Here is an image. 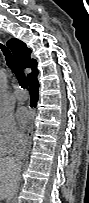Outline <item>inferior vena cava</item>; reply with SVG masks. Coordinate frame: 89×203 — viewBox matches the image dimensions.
I'll list each match as a JSON object with an SVG mask.
<instances>
[{"label": "inferior vena cava", "instance_id": "1", "mask_svg": "<svg viewBox=\"0 0 89 203\" xmlns=\"http://www.w3.org/2000/svg\"><path fill=\"white\" fill-rule=\"evenodd\" d=\"M28 145H29V142L27 137L22 136L18 138V150L15 154V160L18 162V165H19L18 167L19 172L21 170L22 161L27 156Z\"/></svg>", "mask_w": 89, "mask_h": 203}]
</instances>
